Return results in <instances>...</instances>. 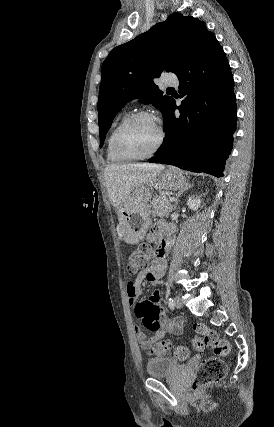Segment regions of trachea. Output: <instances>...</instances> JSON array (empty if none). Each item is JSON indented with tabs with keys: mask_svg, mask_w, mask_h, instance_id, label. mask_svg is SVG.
<instances>
[{
	"mask_svg": "<svg viewBox=\"0 0 274 427\" xmlns=\"http://www.w3.org/2000/svg\"><path fill=\"white\" fill-rule=\"evenodd\" d=\"M167 90H174V89H172V88L169 87Z\"/></svg>",
	"mask_w": 274,
	"mask_h": 427,
	"instance_id": "obj_1",
	"label": "trachea"
}]
</instances>
